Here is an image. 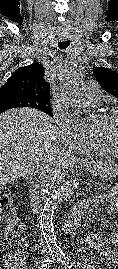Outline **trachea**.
Instances as JSON below:
<instances>
[{"label":"trachea","mask_w":118,"mask_h":269,"mask_svg":"<svg viewBox=\"0 0 118 269\" xmlns=\"http://www.w3.org/2000/svg\"><path fill=\"white\" fill-rule=\"evenodd\" d=\"M69 44H70V41L69 40H66V41H63V42H59L58 43V47L60 48V49H66L68 46H69Z\"/></svg>","instance_id":"obj_1"}]
</instances>
